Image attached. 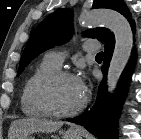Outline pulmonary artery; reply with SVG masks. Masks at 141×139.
I'll return each instance as SVG.
<instances>
[{
	"mask_svg": "<svg viewBox=\"0 0 141 139\" xmlns=\"http://www.w3.org/2000/svg\"><path fill=\"white\" fill-rule=\"evenodd\" d=\"M99 48H100V45L98 44V42L93 40L86 41L83 45V50L89 53L97 52ZM45 58L49 62H51L53 65L60 67L64 60V54L58 51H51L46 54Z\"/></svg>",
	"mask_w": 141,
	"mask_h": 139,
	"instance_id": "1",
	"label": "pulmonary artery"
}]
</instances>
